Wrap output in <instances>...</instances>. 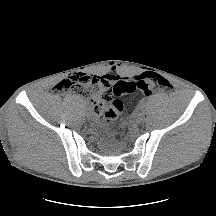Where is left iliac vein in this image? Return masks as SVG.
<instances>
[{
  "instance_id": "4c4485c4",
  "label": "left iliac vein",
  "mask_w": 216,
  "mask_h": 216,
  "mask_svg": "<svg viewBox=\"0 0 216 216\" xmlns=\"http://www.w3.org/2000/svg\"><path fill=\"white\" fill-rule=\"evenodd\" d=\"M145 120V112L140 111L135 116V121L137 123H142Z\"/></svg>"
}]
</instances>
